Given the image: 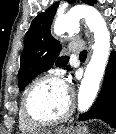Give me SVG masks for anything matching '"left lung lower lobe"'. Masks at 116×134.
Segmentation results:
<instances>
[{
    "label": "left lung lower lobe",
    "instance_id": "1",
    "mask_svg": "<svg viewBox=\"0 0 116 134\" xmlns=\"http://www.w3.org/2000/svg\"><path fill=\"white\" fill-rule=\"evenodd\" d=\"M101 119L112 127H116V53L110 55L101 92L93 105L86 113L80 114L79 120Z\"/></svg>",
    "mask_w": 116,
    "mask_h": 134
}]
</instances>
